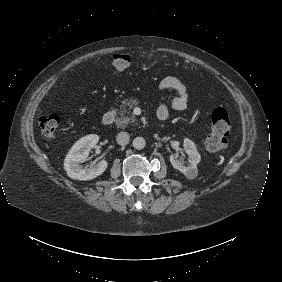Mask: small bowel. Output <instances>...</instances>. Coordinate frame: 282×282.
<instances>
[{
  "instance_id": "1",
  "label": "small bowel",
  "mask_w": 282,
  "mask_h": 282,
  "mask_svg": "<svg viewBox=\"0 0 282 282\" xmlns=\"http://www.w3.org/2000/svg\"><path fill=\"white\" fill-rule=\"evenodd\" d=\"M158 90H174L175 96L172 98L170 106L173 110L182 111L188 105L187 87L181 79L175 76H167L158 83ZM157 117L159 120H166L169 116V107L161 104L157 109Z\"/></svg>"
}]
</instances>
